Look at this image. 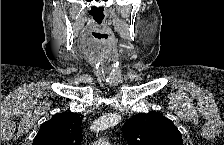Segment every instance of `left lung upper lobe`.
<instances>
[{
  "label": "left lung upper lobe",
  "instance_id": "5c2ea615",
  "mask_svg": "<svg viewBox=\"0 0 224 145\" xmlns=\"http://www.w3.org/2000/svg\"><path fill=\"white\" fill-rule=\"evenodd\" d=\"M122 132L129 145H183L180 131L158 112L136 114Z\"/></svg>",
  "mask_w": 224,
  "mask_h": 145
}]
</instances>
